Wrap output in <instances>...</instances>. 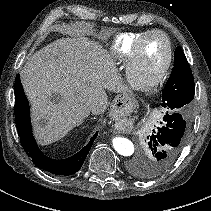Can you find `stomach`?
<instances>
[{
  "label": "stomach",
  "instance_id": "stomach-1",
  "mask_svg": "<svg viewBox=\"0 0 211 211\" xmlns=\"http://www.w3.org/2000/svg\"><path fill=\"white\" fill-rule=\"evenodd\" d=\"M136 107V100L132 94L123 93L118 95L111 108V115L115 119H121L129 116Z\"/></svg>",
  "mask_w": 211,
  "mask_h": 211
}]
</instances>
